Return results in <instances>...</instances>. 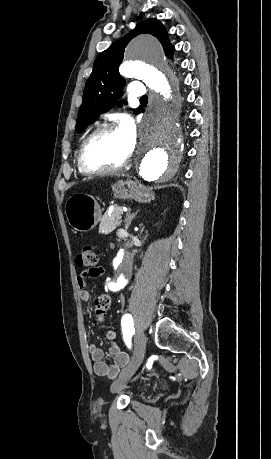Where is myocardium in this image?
<instances>
[{
	"label": "myocardium",
	"instance_id": "myocardium-1",
	"mask_svg": "<svg viewBox=\"0 0 271 459\" xmlns=\"http://www.w3.org/2000/svg\"><path fill=\"white\" fill-rule=\"evenodd\" d=\"M118 130L119 126L116 123L111 122L98 127L84 138L78 149V162L85 172L89 174H97L117 171L120 170L129 161L132 156V152H130L123 159L116 162H104L95 164L90 162L87 158V148L94 139L105 134L116 132Z\"/></svg>",
	"mask_w": 271,
	"mask_h": 459
}]
</instances>
